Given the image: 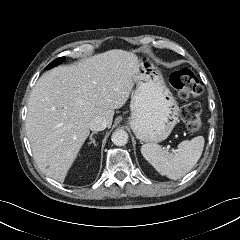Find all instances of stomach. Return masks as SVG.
I'll return each mask as SVG.
<instances>
[{
  "label": "stomach",
  "instance_id": "stomach-1",
  "mask_svg": "<svg viewBox=\"0 0 240 240\" xmlns=\"http://www.w3.org/2000/svg\"><path fill=\"white\" fill-rule=\"evenodd\" d=\"M130 109L128 124L142 142L165 140L178 122L177 102L167 88L159 66L149 55H143L139 60V78Z\"/></svg>",
  "mask_w": 240,
  "mask_h": 240
}]
</instances>
